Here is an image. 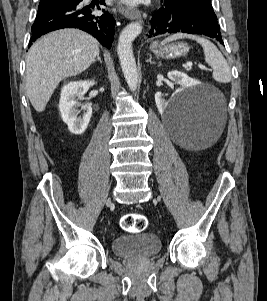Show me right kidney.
<instances>
[{
    "instance_id": "right-kidney-1",
    "label": "right kidney",
    "mask_w": 267,
    "mask_h": 301,
    "mask_svg": "<svg viewBox=\"0 0 267 301\" xmlns=\"http://www.w3.org/2000/svg\"><path fill=\"white\" fill-rule=\"evenodd\" d=\"M94 84V80L72 82L66 85L61 91L59 102L61 117L67 124L69 131L75 135H81L85 132L92 116L91 105H85L82 108L83 116L77 117L80 112L76 109L78 99H81L90 86H93Z\"/></svg>"
}]
</instances>
